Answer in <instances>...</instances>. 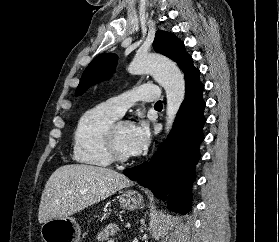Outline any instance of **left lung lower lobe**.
I'll list each match as a JSON object with an SVG mask.
<instances>
[{"label": "left lung lower lobe", "mask_w": 279, "mask_h": 242, "mask_svg": "<svg viewBox=\"0 0 279 242\" xmlns=\"http://www.w3.org/2000/svg\"><path fill=\"white\" fill-rule=\"evenodd\" d=\"M181 69L185 74L186 94L169 137L149 162L126 169L123 173L150 189L160 199H163L169 187V208L185 214L191 210V185L195 178V165L201 157L199 147L204 140L203 126L206 119L203 115L204 85L199 79V69L192 64L191 56L185 60Z\"/></svg>", "instance_id": "left-lung-lower-lobe-1"}]
</instances>
